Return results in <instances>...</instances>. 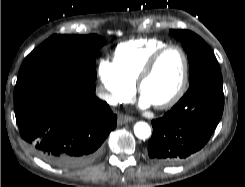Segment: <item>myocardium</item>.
Masks as SVG:
<instances>
[{"instance_id":"1","label":"myocardium","mask_w":245,"mask_h":187,"mask_svg":"<svg viewBox=\"0 0 245 187\" xmlns=\"http://www.w3.org/2000/svg\"><path fill=\"white\" fill-rule=\"evenodd\" d=\"M171 49H176L179 51L182 61H183V72H182V77L180 84L177 88V90L172 94L167 100L154 104L153 106L156 109L159 110H165L173 107L175 104H177L181 98L184 96L186 93L188 83H189V60L187 57L186 52L184 49L177 45V44H168L160 49H158L155 53L151 55V57L147 60L143 68L141 69L137 80H136V89L137 91L141 94L142 93V86L144 82L148 79V77L152 74L154 71L156 64L158 63L159 59L169 50Z\"/></svg>"}]
</instances>
